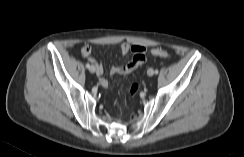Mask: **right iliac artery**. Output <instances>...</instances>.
<instances>
[{"mask_svg":"<svg viewBox=\"0 0 244 157\" xmlns=\"http://www.w3.org/2000/svg\"><path fill=\"white\" fill-rule=\"evenodd\" d=\"M86 67L89 69L90 68V64L89 63H86Z\"/></svg>","mask_w":244,"mask_h":157,"instance_id":"82829eb1","label":"right iliac artery"}]
</instances>
